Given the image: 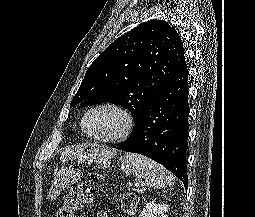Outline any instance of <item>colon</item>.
I'll use <instances>...</instances> for the list:
<instances>
[{"instance_id": "colon-1", "label": "colon", "mask_w": 255, "mask_h": 217, "mask_svg": "<svg viewBox=\"0 0 255 217\" xmlns=\"http://www.w3.org/2000/svg\"><path fill=\"white\" fill-rule=\"evenodd\" d=\"M90 200L91 189L88 186L69 189L64 194L63 203L56 210L55 217H75V213ZM119 203L125 214L133 215L138 207V197L134 193H126L120 197Z\"/></svg>"}]
</instances>
